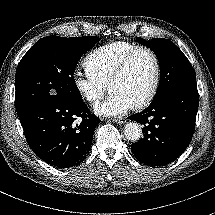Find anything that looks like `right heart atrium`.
<instances>
[{
  "label": "right heart atrium",
  "instance_id": "d8ad5b80",
  "mask_svg": "<svg viewBox=\"0 0 215 215\" xmlns=\"http://www.w3.org/2000/svg\"><path fill=\"white\" fill-rule=\"evenodd\" d=\"M72 80L76 91L86 102L96 104L103 98L105 86L96 77L75 71Z\"/></svg>",
  "mask_w": 215,
  "mask_h": 215
}]
</instances>
